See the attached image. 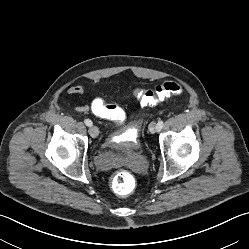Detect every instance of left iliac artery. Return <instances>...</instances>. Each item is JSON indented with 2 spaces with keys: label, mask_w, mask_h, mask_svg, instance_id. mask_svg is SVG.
<instances>
[{
  "label": "left iliac artery",
  "mask_w": 249,
  "mask_h": 249,
  "mask_svg": "<svg viewBox=\"0 0 249 249\" xmlns=\"http://www.w3.org/2000/svg\"><path fill=\"white\" fill-rule=\"evenodd\" d=\"M163 125V121H159L156 126L157 131H160L163 128Z\"/></svg>",
  "instance_id": "obj_1"
}]
</instances>
